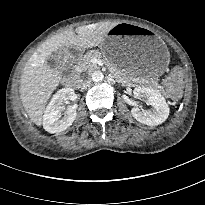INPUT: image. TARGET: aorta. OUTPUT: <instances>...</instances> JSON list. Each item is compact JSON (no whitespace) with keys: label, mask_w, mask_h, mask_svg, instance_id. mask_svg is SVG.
Returning a JSON list of instances; mask_svg holds the SVG:
<instances>
[{"label":"aorta","mask_w":205,"mask_h":205,"mask_svg":"<svg viewBox=\"0 0 205 205\" xmlns=\"http://www.w3.org/2000/svg\"><path fill=\"white\" fill-rule=\"evenodd\" d=\"M92 79L93 81L95 82H102L103 79H104V75L101 71H95L93 74H92Z\"/></svg>","instance_id":"obj_1"}]
</instances>
